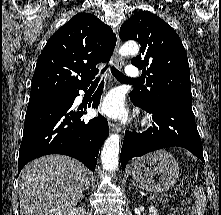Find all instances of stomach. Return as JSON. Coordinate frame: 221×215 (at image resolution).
<instances>
[{
	"label": "stomach",
	"instance_id": "obj_1",
	"mask_svg": "<svg viewBox=\"0 0 221 215\" xmlns=\"http://www.w3.org/2000/svg\"><path fill=\"white\" fill-rule=\"evenodd\" d=\"M132 176L148 191L163 192L178 179L179 165L169 152L157 150L133 163Z\"/></svg>",
	"mask_w": 221,
	"mask_h": 215
}]
</instances>
